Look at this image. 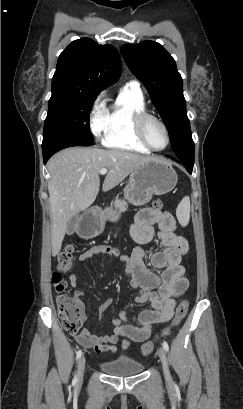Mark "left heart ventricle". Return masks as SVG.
<instances>
[{
  "label": "left heart ventricle",
  "instance_id": "b2bd125f",
  "mask_svg": "<svg viewBox=\"0 0 243 409\" xmlns=\"http://www.w3.org/2000/svg\"><path fill=\"white\" fill-rule=\"evenodd\" d=\"M145 133L149 142L157 149L166 145V135L163 128L154 120L149 119L145 123Z\"/></svg>",
  "mask_w": 243,
  "mask_h": 409
}]
</instances>
